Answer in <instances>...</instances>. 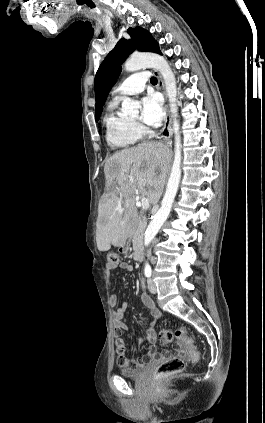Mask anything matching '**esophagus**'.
<instances>
[{"mask_svg": "<svg viewBox=\"0 0 265 423\" xmlns=\"http://www.w3.org/2000/svg\"><path fill=\"white\" fill-rule=\"evenodd\" d=\"M154 75L157 77L158 79V89L162 92L163 96H164V101H165V111H166V116H165V122H164V126L161 130V138H163L165 141L170 142L172 139V135H173V131H172V123H171V116L170 113L168 111L167 108V97H166V93H165V88H164V82L163 79L160 75V73L156 70L153 71Z\"/></svg>", "mask_w": 265, "mask_h": 423, "instance_id": "obj_1", "label": "esophagus"}]
</instances>
